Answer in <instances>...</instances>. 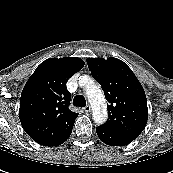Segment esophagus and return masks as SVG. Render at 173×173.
I'll return each mask as SVG.
<instances>
[{
    "instance_id": "34e87169",
    "label": "esophagus",
    "mask_w": 173,
    "mask_h": 173,
    "mask_svg": "<svg viewBox=\"0 0 173 173\" xmlns=\"http://www.w3.org/2000/svg\"><path fill=\"white\" fill-rule=\"evenodd\" d=\"M84 111H85L86 113L91 112V106H90V105H87L86 107H84Z\"/></svg>"
}]
</instances>
